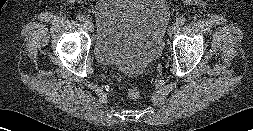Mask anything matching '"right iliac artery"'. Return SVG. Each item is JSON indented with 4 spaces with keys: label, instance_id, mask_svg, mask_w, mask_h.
Here are the masks:
<instances>
[{
    "label": "right iliac artery",
    "instance_id": "1",
    "mask_svg": "<svg viewBox=\"0 0 253 131\" xmlns=\"http://www.w3.org/2000/svg\"><path fill=\"white\" fill-rule=\"evenodd\" d=\"M76 19L80 22H85L86 21V17L84 15H76Z\"/></svg>",
    "mask_w": 253,
    "mask_h": 131
}]
</instances>
